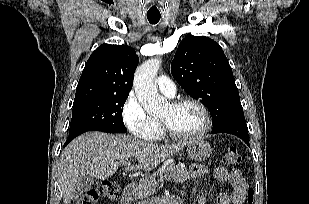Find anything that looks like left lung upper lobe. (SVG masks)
I'll return each mask as SVG.
<instances>
[{
	"instance_id": "1",
	"label": "left lung upper lobe",
	"mask_w": 309,
	"mask_h": 204,
	"mask_svg": "<svg viewBox=\"0 0 309 204\" xmlns=\"http://www.w3.org/2000/svg\"><path fill=\"white\" fill-rule=\"evenodd\" d=\"M171 73L190 96L208 108L213 127L244 115L232 69L214 40L205 36L184 38L172 61Z\"/></svg>"
}]
</instances>
